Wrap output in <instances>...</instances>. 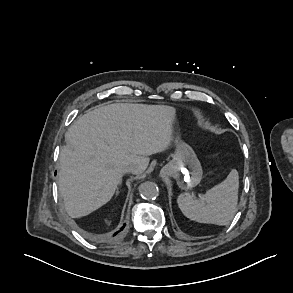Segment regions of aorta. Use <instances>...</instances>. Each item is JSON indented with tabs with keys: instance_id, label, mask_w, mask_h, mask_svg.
<instances>
[{
	"instance_id": "aorta-1",
	"label": "aorta",
	"mask_w": 293,
	"mask_h": 293,
	"mask_svg": "<svg viewBox=\"0 0 293 293\" xmlns=\"http://www.w3.org/2000/svg\"><path fill=\"white\" fill-rule=\"evenodd\" d=\"M139 193L145 200H154L159 195V189L154 182L146 181L139 186Z\"/></svg>"
}]
</instances>
